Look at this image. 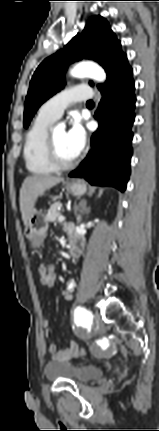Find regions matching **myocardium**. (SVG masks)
I'll return each instance as SVG.
<instances>
[{"mask_svg": "<svg viewBox=\"0 0 159 431\" xmlns=\"http://www.w3.org/2000/svg\"><path fill=\"white\" fill-rule=\"evenodd\" d=\"M46 155L50 164L56 170H68L74 167L78 162V157H75L73 160L65 162L60 159L57 148L55 145V141L53 138V132H49L46 140Z\"/></svg>", "mask_w": 159, "mask_h": 431, "instance_id": "1", "label": "myocardium"}]
</instances>
